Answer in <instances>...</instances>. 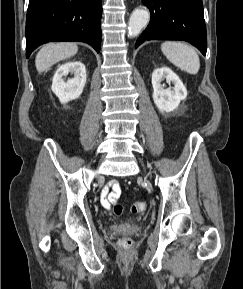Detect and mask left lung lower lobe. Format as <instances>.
I'll return each instance as SVG.
<instances>
[{
	"label": "left lung lower lobe",
	"mask_w": 243,
	"mask_h": 289,
	"mask_svg": "<svg viewBox=\"0 0 243 289\" xmlns=\"http://www.w3.org/2000/svg\"><path fill=\"white\" fill-rule=\"evenodd\" d=\"M143 4L150 9L151 19L135 48L146 40H183L206 55L202 0H143Z\"/></svg>",
	"instance_id": "0a47b994"
}]
</instances>
